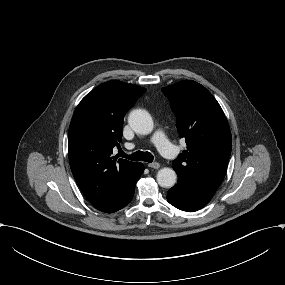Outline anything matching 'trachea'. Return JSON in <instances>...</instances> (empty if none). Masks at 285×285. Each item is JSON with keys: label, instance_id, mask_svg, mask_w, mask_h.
<instances>
[{"label": "trachea", "instance_id": "1", "mask_svg": "<svg viewBox=\"0 0 285 285\" xmlns=\"http://www.w3.org/2000/svg\"><path fill=\"white\" fill-rule=\"evenodd\" d=\"M119 155L123 158H128L133 161H145L151 163L154 159L153 155L150 152L136 151L131 155H126L122 150L119 151Z\"/></svg>", "mask_w": 285, "mask_h": 285}]
</instances>
